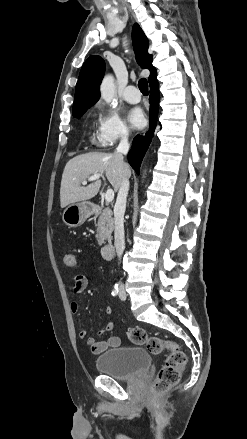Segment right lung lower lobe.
Instances as JSON below:
<instances>
[{"label":"right lung lower lobe","instance_id":"right-lung-lower-lobe-1","mask_svg":"<svg viewBox=\"0 0 247 439\" xmlns=\"http://www.w3.org/2000/svg\"><path fill=\"white\" fill-rule=\"evenodd\" d=\"M158 81L150 84V129L143 137L141 135H137L132 144V148L128 153V161L132 168L139 174L140 164L142 159L147 151L153 134L156 127V119L158 114V102H159V91H158Z\"/></svg>","mask_w":247,"mask_h":439}]
</instances>
